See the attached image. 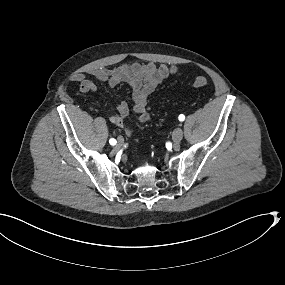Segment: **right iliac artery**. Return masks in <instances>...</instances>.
<instances>
[{
	"label": "right iliac artery",
	"mask_w": 285,
	"mask_h": 285,
	"mask_svg": "<svg viewBox=\"0 0 285 285\" xmlns=\"http://www.w3.org/2000/svg\"><path fill=\"white\" fill-rule=\"evenodd\" d=\"M109 143L114 146V145H116L117 141L115 139L111 138L109 140Z\"/></svg>",
	"instance_id": "82829eb1"
}]
</instances>
